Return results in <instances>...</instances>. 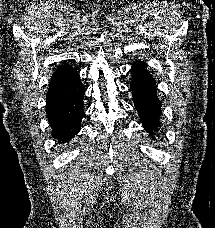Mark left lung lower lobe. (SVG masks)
<instances>
[{
	"mask_svg": "<svg viewBox=\"0 0 215 228\" xmlns=\"http://www.w3.org/2000/svg\"><path fill=\"white\" fill-rule=\"evenodd\" d=\"M132 81L130 90L133 95L135 108L138 111L140 120L145 130L150 135L153 131H159L161 126V102L157 97L156 82L146 70L145 63L136 61L131 68Z\"/></svg>",
	"mask_w": 215,
	"mask_h": 228,
	"instance_id": "obj_1",
	"label": "left lung lower lobe"
}]
</instances>
